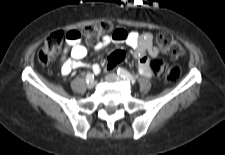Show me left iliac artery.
<instances>
[{"instance_id": "obj_1", "label": "left iliac artery", "mask_w": 225, "mask_h": 155, "mask_svg": "<svg viewBox=\"0 0 225 155\" xmlns=\"http://www.w3.org/2000/svg\"><path fill=\"white\" fill-rule=\"evenodd\" d=\"M117 73H118V75H120L124 79H127L128 81H130L132 83H136L135 77L130 72H128L127 70H125L123 68H118Z\"/></svg>"}]
</instances>
